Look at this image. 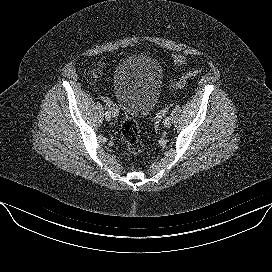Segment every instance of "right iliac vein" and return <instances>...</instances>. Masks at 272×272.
I'll use <instances>...</instances> for the list:
<instances>
[{
	"mask_svg": "<svg viewBox=\"0 0 272 272\" xmlns=\"http://www.w3.org/2000/svg\"><path fill=\"white\" fill-rule=\"evenodd\" d=\"M111 118H112L111 113H110V112H108V114H107V115H105V119H106L107 121H110V120H111Z\"/></svg>",
	"mask_w": 272,
	"mask_h": 272,
	"instance_id": "1",
	"label": "right iliac vein"
}]
</instances>
